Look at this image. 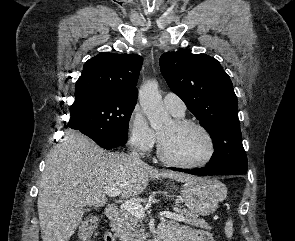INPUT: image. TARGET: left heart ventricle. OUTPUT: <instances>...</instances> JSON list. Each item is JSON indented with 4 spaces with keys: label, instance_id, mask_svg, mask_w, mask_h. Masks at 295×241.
I'll list each match as a JSON object with an SVG mask.
<instances>
[{
    "label": "left heart ventricle",
    "instance_id": "obj_1",
    "mask_svg": "<svg viewBox=\"0 0 295 241\" xmlns=\"http://www.w3.org/2000/svg\"><path fill=\"white\" fill-rule=\"evenodd\" d=\"M166 154L180 162L194 163L206 157L209 151L205 136L196 128H178L174 122L159 131Z\"/></svg>",
    "mask_w": 295,
    "mask_h": 241
}]
</instances>
